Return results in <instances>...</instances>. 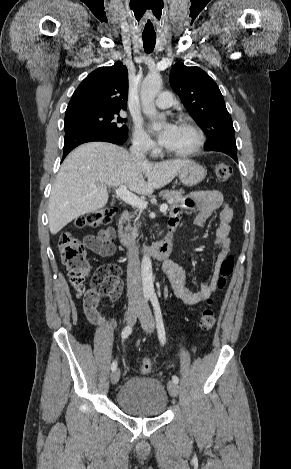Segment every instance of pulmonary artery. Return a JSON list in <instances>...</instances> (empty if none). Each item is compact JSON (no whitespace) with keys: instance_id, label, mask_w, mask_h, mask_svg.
<instances>
[{"instance_id":"e3ab8cb5","label":"pulmonary artery","mask_w":291,"mask_h":469,"mask_svg":"<svg viewBox=\"0 0 291 469\" xmlns=\"http://www.w3.org/2000/svg\"><path fill=\"white\" fill-rule=\"evenodd\" d=\"M173 104V96L170 92H162L158 95L155 100V105L160 109H166L171 107Z\"/></svg>"}]
</instances>
